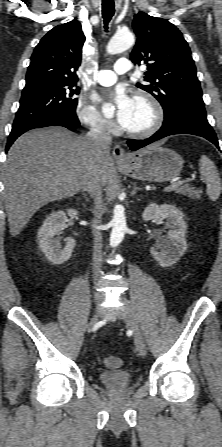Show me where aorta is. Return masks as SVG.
Returning <instances> with one entry per match:
<instances>
[{
  "label": "aorta",
  "instance_id": "762f6f07",
  "mask_svg": "<svg viewBox=\"0 0 222 447\" xmlns=\"http://www.w3.org/2000/svg\"><path fill=\"white\" fill-rule=\"evenodd\" d=\"M135 42L134 35L130 31H118L111 38L107 45V52L109 54H118L129 49ZM92 99L99 101L97 95H93ZM110 108V105L105 103L102 110L105 112ZM112 231L110 235V245L116 247L124 238L126 226V218L124 208L121 205H116L113 210V218L111 221Z\"/></svg>",
  "mask_w": 222,
  "mask_h": 447
}]
</instances>
